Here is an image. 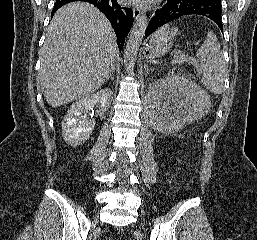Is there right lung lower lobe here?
I'll return each mask as SVG.
<instances>
[{"label": "right lung lower lobe", "instance_id": "98d812e1", "mask_svg": "<svg viewBox=\"0 0 257 240\" xmlns=\"http://www.w3.org/2000/svg\"><path fill=\"white\" fill-rule=\"evenodd\" d=\"M72 1H85L95 5L108 18L117 36L119 50L123 48L125 39L133 23V11L131 8L120 5L116 0H66L57 1L51 16L63 5Z\"/></svg>", "mask_w": 257, "mask_h": 240}]
</instances>
